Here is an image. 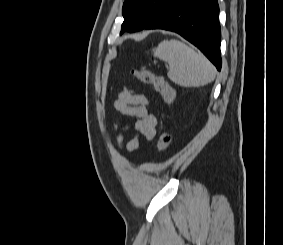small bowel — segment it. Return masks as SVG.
<instances>
[{
  "instance_id": "c3829d8e",
  "label": "small bowel",
  "mask_w": 283,
  "mask_h": 245,
  "mask_svg": "<svg viewBox=\"0 0 283 245\" xmlns=\"http://www.w3.org/2000/svg\"><path fill=\"white\" fill-rule=\"evenodd\" d=\"M113 106L121 114L137 119L134 125L135 135L125 145L123 133L128 130V127H124L123 132L118 134L116 141L119 148H125L127 152L132 153L139 147L141 136L148 141L154 139L157 119L150 111L149 101L144 95L125 89L119 93Z\"/></svg>"
}]
</instances>
